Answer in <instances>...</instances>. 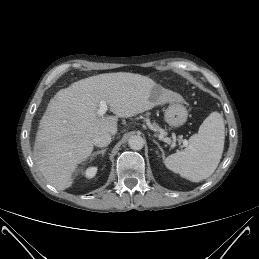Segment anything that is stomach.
Segmentation results:
<instances>
[{
    "mask_svg": "<svg viewBox=\"0 0 259 259\" xmlns=\"http://www.w3.org/2000/svg\"><path fill=\"white\" fill-rule=\"evenodd\" d=\"M164 117L170 128H178L186 122L188 112L182 104L173 102L165 110Z\"/></svg>",
    "mask_w": 259,
    "mask_h": 259,
    "instance_id": "1",
    "label": "stomach"
}]
</instances>
